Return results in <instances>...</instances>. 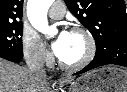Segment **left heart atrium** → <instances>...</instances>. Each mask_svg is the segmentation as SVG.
<instances>
[{
  "mask_svg": "<svg viewBox=\"0 0 127 92\" xmlns=\"http://www.w3.org/2000/svg\"><path fill=\"white\" fill-rule=\"evenodd\" d=\"M69 39L70 32L62 31L52 43V50L55 53V55L59 58H61L64 55L69 43Z\"/></svg>",
  "mask_w": 127,
  "mask_h": 92,
  "instance_id": "1",
  "label": "left heart atrium"
}]
</instances>
